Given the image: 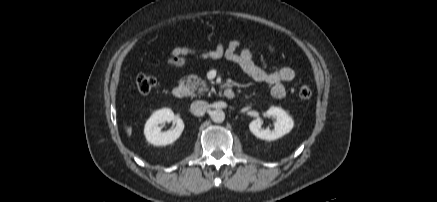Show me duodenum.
I'll use <instances>...</instances> for the list:
<instances>
[{"mask_svg":"<svg viewBox=\"0 0 437 202\" xmlns=\"http://www.w3.org/2000/svg\"><path fill=\"white\" fill-rule=\"evenodd\" d=\"M172 94L177 99L184 98L185 95H186L185 87L183 85H176V86H174L173 89H172ZM223 95L227 99H233L236 96V92L232 88H226L223 91Z\"/></svg>","mask_w":437,"mask_h":202,"instance_id":"410a0bca","label":"duodenum"}]
</instances>
